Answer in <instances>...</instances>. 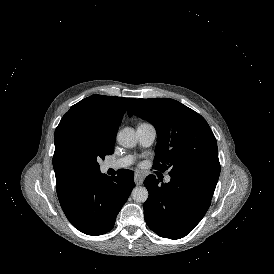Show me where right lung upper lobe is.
Here are the masks:
<instances>
[{
  "mask_svg": "<svg viewBox=\"0 0 274 274\" xmlns=\"http://www.w3.org/2000/svg\"><path fill=\"white\" fill-rule=\"evenodd\" d=\"M133 100L95 94L73 105L65 113L54 134L53 167L57 193L84 177L64 162L62 155L66 146L71 142L83 141L94 132L116 137L123 115Z\"/></svg>",
  "mask_w": 274,
  "mask_h": 274,
  "instance_id": "cb5924a9",
  "label": "right lung upper lobe"
}]
</instances>
